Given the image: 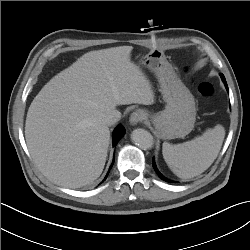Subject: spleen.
<instances>
[{
  "label": "spleen",
  "mask_w": 250,
  "mask_h": 250,
  "mask_svg": "<svg viewBox=\"0 0 250 250\" xmlns=\"http://www.w3.org/2000/svg\"><path fill=\"white\" fill-rule=\"evenodd\" d=\"M225 137L218 124L191 141L172 145L163 143L162 153L172 172L181 179L193 178L207 170L217 158Z\"/></svg>",
  "instance_id": "1"
}]
</instances>
